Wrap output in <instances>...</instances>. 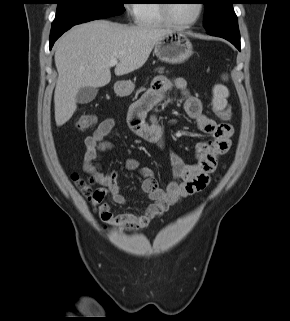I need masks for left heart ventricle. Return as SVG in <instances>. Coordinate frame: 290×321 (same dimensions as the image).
Here are the masks:
<instances>
[{
	"label": "left heart ventricle",
	"mask_w": 290,
	"mask_h": 321,
	"mask_svg": "<svg viewBox=\"0 0 290 321\" xmlns=\"http://www.w3.org/2000/svg\"><path fill=\"white\" fill-rule=\"evenodd\" d=\"M197 13V1L178 0L171 4V15L179 22L191 21Z\"/></svg>",
	"instance_id": "1"
}]
</instances>
